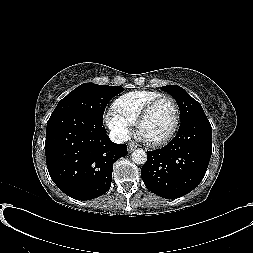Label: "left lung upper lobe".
Segmentation results:
<instances>
[{
  "label": "left lung upper lobe",
  "mask_w": 253,
  "mask_h": 253,
  "mask_svg": "<svg viewBox=\"0 0 253 253\" xmlns=\"http://www.w3.org/2000/svg\"><path fill=\"white\" fill-rule=\"evenodd\" d=\"M162 90L171 94L176 100L181 114V123L192 118L206 117L201 105L181 87L169 85L162 87Z\"/></svg>",
  "instance_id": "left-lung-upper-lobe-1"
}]
</instances>
